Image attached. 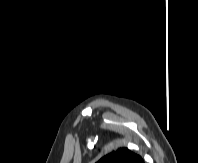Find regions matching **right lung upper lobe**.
Here are the masks:
<instances>
[{
  "label": "right lung upper lobe",
  "instance_id": "obj_1",
  "mask_svg": "<svg viewBox=\"0 0 198 163\" xmlns=\"http://www.w3.org/2000/svg\"><path fill=\"white\" fill-rule=\"evenodd\" d=\"M96 163H144L141 156L133 153L128 148H119L104 157Z\"/></svg>",
  "mask_w": 198,
  "mask_h": 163
}]
</instances>
